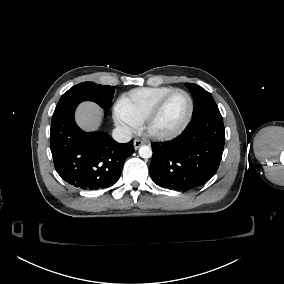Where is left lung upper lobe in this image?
I'll list each match as a JSON object with an SVG mask.
<instances>
[{"mask_svg":"<svg viewBox=\"0 0 284 284\" xmlns=\"http://www.w3.org/2000/svg\"><path fill=\"white\" fill-rule=\"evenodd\" d=\"M185 85L191 92L194 99L193 118L210 111H219L212 95L209 92L193 83H185Z\"/></svg>","mask_w":284,"mask_h":284,"instance_id":"1","label":"left lung upper lobe"}]
</instances>
